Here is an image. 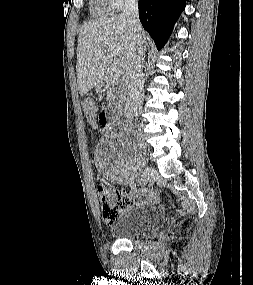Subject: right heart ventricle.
Returning a JSON list of instances; mask_svg holds the SVG:
<instances>
[{
    "mask_svg": "<svg viewBox=\"0 0 253 285\" xmlns=\"http://www.w3.org/2000/svg\"><path fill=\"white\" fill-rule=\"evenodd\" d=\"M94 11L99 14H106L111 11L110 6L107 3V0H94Z\"/></svg>",
    "mask_w": 253,
    "mask_h": 285,
    "instance_id": "e07e8e85",
    "label": "right heart ventricle"
}]
</instances>
